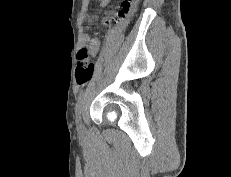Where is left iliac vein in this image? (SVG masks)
<instances>
[{
	"label": "left iliac vein",
	"mask_w": 231,
	"mask_h": 177,
	"mask_svg": "<svg viewBox=\"0 0 231 177\" xmlns=\"http://www.w3.org/2000/svg\"><path fill=\"white\" fill-rule=\"evenodd\" d=\"M78 128H79L80 130L83 129V123H82V119H81V116H80V115L78 116Z\"/></svg>",
	"instance_id": "obj_1"
}]
</instances>
